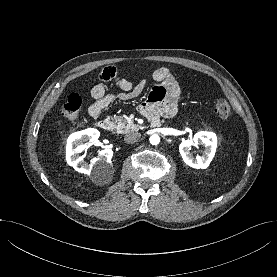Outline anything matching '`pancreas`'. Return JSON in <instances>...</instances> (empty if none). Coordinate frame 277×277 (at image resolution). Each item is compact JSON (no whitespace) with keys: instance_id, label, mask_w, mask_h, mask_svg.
I'll return each instance as SVG.
<instances>
[{"instance_id":"pancreas-1","label":"pancreas","mask_w":277,"mask_h":277,"mask_svg":"<svg viewBox=\"0 0 277 277\" xmlns=\"http://www.w3.org/2000/svg\"><path fill=\"white\" fill-rule=\"evenodd\" d=\"M113 120H114L113 127L116 129V132L119 134H125L128 132L137 130L136 125L128 124L127 121L121 116H116L113 118Z\"/></svg>"}]
</instances>
